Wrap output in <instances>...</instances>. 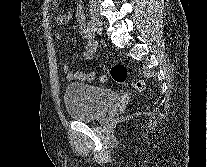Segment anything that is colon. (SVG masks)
Segmentation results:
<instances>
[{
	"mask_svg": "<svg viewBox=\"0 0 207 167\" xmlns=\"http://www.w3.org/2000/svg\"><path fill=\"white\" fill-rule=\"evenodd\" d=\"M109 76L114 82L124 84L128 80V69L124 64H114L109 70ZM86 79L90 82L97 80L104 82L107 77L106 75L98 76L95 72L91 71L86 74ZM133 87L138 91H143L145 89V83L142 80H137L133 82Z\"/></svg>",
	"mask_w": 207,
	"mask_h": 167,
	"instance_id": "1",
	"label": "colon"
}]
</instances>
